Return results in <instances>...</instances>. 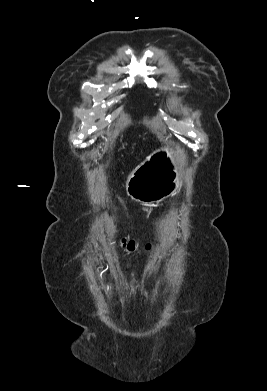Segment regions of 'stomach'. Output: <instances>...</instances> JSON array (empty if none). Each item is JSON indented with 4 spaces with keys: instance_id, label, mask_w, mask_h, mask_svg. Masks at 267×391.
<instances>
[{
    "instance_id": "0dacf381",
    "label": "stomach",
    "mask_w": 267,
    "mask_h": 391,
    "mask_svg": "<svg viewBox=\"0 0 267 391\" xmlns=\"http://www.w3.org/2000/svg\"><path fill=\"white\" fill-rule=\"evenodd\" d=\"M180 153L176 147L164 146L152 153L128 177V196L142 204L159 203L179 192Z\"/></svg>"
}]
</instances>
